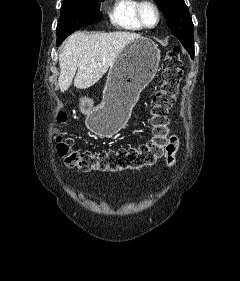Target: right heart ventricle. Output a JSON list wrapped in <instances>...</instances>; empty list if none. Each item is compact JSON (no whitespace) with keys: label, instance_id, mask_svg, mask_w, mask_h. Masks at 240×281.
Wrapping results in <instances>:
<instances>
[{"label":"right heart ventricle","instance_id":"e07e8e85","mask_svg":"<svg viewBox=\"0 0 240 281\" xmlns=\"http://www.w3.org/2000/svg\"><path fill=\"white\" fill-rule=\"evenodd\" d=\"M138 0H113L108 11L111 24L118 29L140 31L143 29L136 16Z\"/></svg>","mask_w":240,"mask_h":281}]
</instances>
